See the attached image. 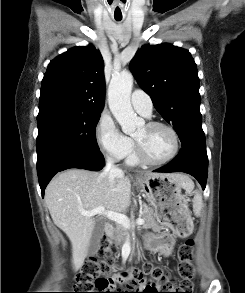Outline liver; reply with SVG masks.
Wrapping results in <instances>:
<instances>
[{
  "label": "liver",
  "instance_id": "obj_1",
  "mask_svg": "<svg viewBox=\"0 0 245 293\" xmlns=\"http://www.w3.org/2000/svg\"><path fill=\"white\" fill-rule=\"evenodd\" d=\"M144 176H170L187 191L193 182L183 174L145 172ZM131 181L121 172L113 183L108 174L83 169H69L60 173L48 184L45 201L54 224L66 233L72 244V263L79 270L88 254L96 220L84 216L81 210L90 211L105 207L108 211L123 212L130 206Z\"/></svg>",
  "mask_w": 245,
  "mask_h": 293
}]
</instances>
